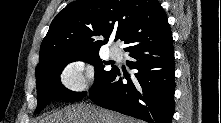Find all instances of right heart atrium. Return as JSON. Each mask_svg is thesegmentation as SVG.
Returning <instances> with one entry per match:
<instances>
[{
  "mask_svg": "<svg viewBox=\"0 0 221 123\" xmlns=\"http://www.w3.org/2000/svg\"><path fill=\"white\" fill-rule=\"evenodd\" d=\"M95 78L94 68L83 60H73L60 73V82L65 89L80 93L88 90Z\"/></svg>",
  "mask_w": 221,
  "mask_h": 123,
  "instance_id": "right-heart-atrium-1",
  "label": "right heart atrium"
}]
</instances>
